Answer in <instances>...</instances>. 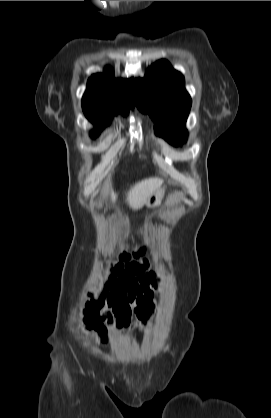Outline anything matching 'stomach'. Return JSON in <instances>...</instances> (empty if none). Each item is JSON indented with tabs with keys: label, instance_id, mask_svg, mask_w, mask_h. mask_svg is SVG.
<instances>
[{
	"label": "stomach",
	"instance_id": "obj_1",
	"mask_svg": "<svg viewBox=\"0 0 271 418\" xmlns=\"http://www.w3.org/2000/svg\"><path fill=\"white\" fill-rule=\"evenodd\" d=\"M164 187H160L146 202L148 208H155L161 204L164 196Z\"/></svg>",
	"mask_w": 271,
	"mask_h": 418
}]
</instances>
